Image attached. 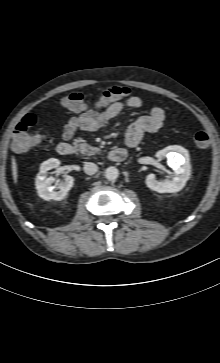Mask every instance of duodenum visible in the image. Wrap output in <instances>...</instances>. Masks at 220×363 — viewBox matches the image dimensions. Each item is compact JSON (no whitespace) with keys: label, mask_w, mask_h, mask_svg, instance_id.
<instances>
[{"label":"duodenum","mask_w":220,"mask_h":363,"mask_svg":"<svg viewBox=\"0 0 220 363\" xmlns=\"http://www.w3.org/2000/svg\"><path fill=\"white\" fill-rule=\"evenodd\" d=\"M57 153L61 156H72L76 153V148L71 143L62 142L57 146ZM127 157V150L115 148L109 152V160L113 163L122 162Z\"/></svg>","instance_id":"obj_1"}]
</instances>
